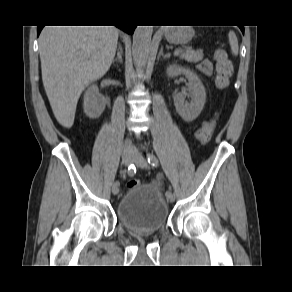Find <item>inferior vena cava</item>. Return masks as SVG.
<instances>
[{
  "instance_id": "obj_1",
  "label": "inferior vena cava",
  "mask_w": 292,
  "mask_h": 292,
  "mask_svg": "<svg viewBox=\"0 0 292 292\" xmlns=\"http://www.w3.org/2000/svg\"><path fill=\"white\" fill-rule=\"evenodd\" d=\"M124 150H126V151L132 150L131 142H129V141L125 142Z\"/></svg>"
}]
</instances>
